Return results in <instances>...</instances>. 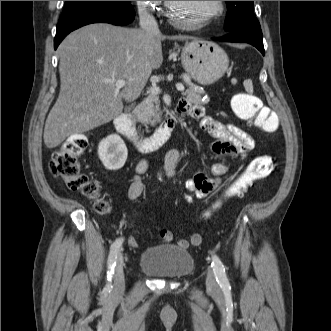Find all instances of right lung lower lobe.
Segmentation results:
<instances>
[{
    "label": "right lung lower lobe",
    "instance_id": "right-lung-lower-lobe-1",
    "mask_svg": "<svg viewBox=\"0 0 331 331\" xmlns=\"http://www.w3.org/2000/svg\"><path fill=\"white\" fill-rule=\"evenodd\" d=\"M135 12L132 5L117 6L98 9L57 25L54 48L56 49L64 37L71 31L92 23H110L117 26H125L134 20Z\"/></svg>",
    "mask_w": 331,
    "mask_h": 331
}]
</instances>
